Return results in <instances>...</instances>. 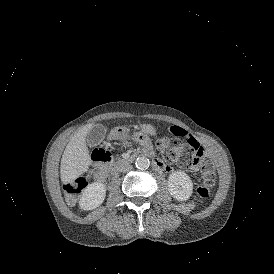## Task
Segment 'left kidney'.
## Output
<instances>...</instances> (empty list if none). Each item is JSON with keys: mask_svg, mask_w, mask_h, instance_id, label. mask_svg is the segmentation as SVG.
Instances as JSON below:
<instances>
[{"mask_svg": "<svg viewBox=\"0 0 274 274\" xmlns=\"http://www.w3.org/2000/svg\"><path fill=\"white\" fill-rule=\"evenodd\" d=\"M169 192L177 200H187L192 195V183L188 175L174 172L168 180Z\"/></svg>", "mask_w": 274, "mask_h": 274, "instance_id": "left-kidney-1", "label": "left kidney"}]
</instances>
